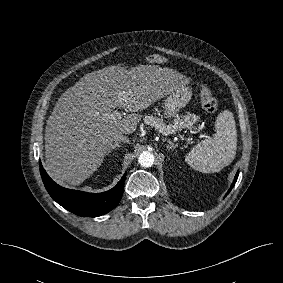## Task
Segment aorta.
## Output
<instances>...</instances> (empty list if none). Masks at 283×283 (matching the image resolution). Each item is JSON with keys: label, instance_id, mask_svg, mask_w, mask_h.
Instances as JSON below:
<instances>
[{"label": "aorta", "instance_id": "obj_1", "mask_svg": "<svg viewBox=\"0 0 283 283\" xmlns=\"http://www.w3.org/2000/svg\"><path fill=\"white\" fill-rule=\"evenodd\" d=\"M154 155L149 151H143L138 158V162L143 167H151L154 164Z\"/></svg>", "mask_w": 283, "mask_h": 283}]
</instances>
